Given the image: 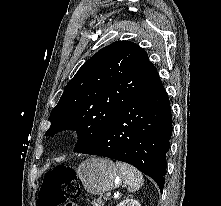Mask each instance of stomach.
<instances>
[{"mask_svg":"<svg viewBox=\"0 0 221 206\" xmlns=\"http://www.w3.org/2000/svg\"><path fill=\"white\" fill-rule=\"evenodd\" d=\"M77 176L88 192L97 195L119 187L123 181L119 167L106 158L85 160L78 167Z\"/></svg>","mask_w":221,"mask_h":206,"instance_id":"obj_1","label":"stomach"}]
</instances>
